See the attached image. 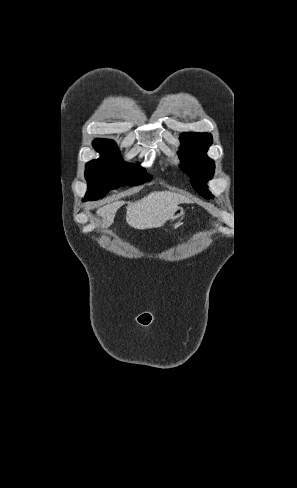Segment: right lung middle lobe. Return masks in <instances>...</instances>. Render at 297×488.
Returning a JSON list of instances; mask_svg holds the SVG:
<instances>
[{
	"mask_svg": "<svg viewBox=\"0 0 297 488\" xmlns=\"http://www.w3.org/2000/svg\"><path fill=\"white\" fill-rule=\"evenodd\" d=\"M101 157L86 164L85 178L89 188L85 200L103 198L111 189L135 186L152 179L139 165L121 162L120 152L112 141L100 142Z\"/></svg>",
	"mask_w": 297,
	"mask_h": 488,
	"instance_id": "obj_1",
	"label": "right lung middle lobe"
}]
</instances>
